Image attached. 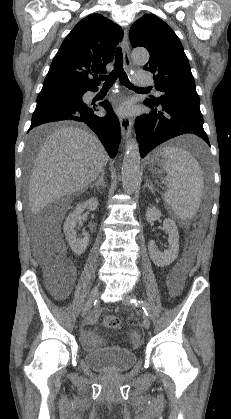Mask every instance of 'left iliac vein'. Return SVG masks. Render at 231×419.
<instances>
[{
  "instance_id": "1",
  "label": "left iliac vein",
  "mask_w": 231,
  "mask_h": 419,
  "mask_svg": "<svg viewBox=\"0 0 231 419\" xmlns=\"http://www.w3.org/2000/svg\"><path fill=\"white\" fill-rule=\"evenodd\" d=\"M130 298H133V296L132 295H129V294H125L124 297H123V299H122V303L124 305H130V303H129V299ZM150 325H151V322H150L149 318L145 316L143 318V327L145 329H149L150 328Z\"/></svg>"
}]
</instances>
